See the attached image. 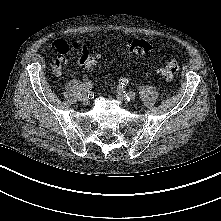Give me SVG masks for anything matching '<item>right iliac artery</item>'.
Masks as SVG:
<instances>
[{
    "instance_id": "right-iliac-artery-1",
    "label": "right iliac artery",
    "mask_w": 221,
    "mask_h": 221,
    "mask_svg": "<svg viewBox=\"0 0 221 221\" xmlns=\"http://www.w3.org/2000/svg\"><path fill=\"white\" fill-rule=\"evenodd\" d=\"M85 89L87 91L91 90L92 89V83L91 82H86L85 85H84Z\"/></svg>"
}]
</instances>
